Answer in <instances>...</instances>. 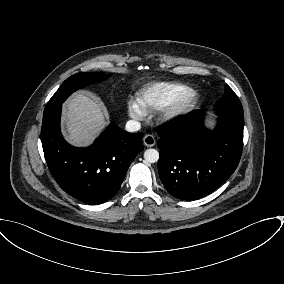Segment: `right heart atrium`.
<instances>
[{"label":"right heart atrium","instance_id":"obj_1","mask_svg":"<svg viewBox=\"0 0 284 284\" xmlns=\"http://www.w3.org/2000/svg\"><path fill=\"white\" fill-rule=\"evenodd\" d=\"M127 112L131 119L138 121L144 117V110L135 100H129L127 103Z\"/></svg>","mask_w":284,"mask_h":284}]
</instances>
